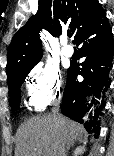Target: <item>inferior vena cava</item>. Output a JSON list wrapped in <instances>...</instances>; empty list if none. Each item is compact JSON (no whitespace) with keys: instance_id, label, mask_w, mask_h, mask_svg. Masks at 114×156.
Wrapping results in <instances>:
<instances>
[{"instance_id":"1","label":"inferior vena cava","mask_w":114,"mask_h":156,"mask_svg":"<svg viewBox=\"0 0 114 156\" xmlns=\"http://www.w3.org/2000/svg\"><path fill=\"white\" fill-rule=\"evenodd\" d=\"M59 103H60V101L58 103H56L54 105V107L52 108V115L56 118L59 117ZM58 156H66V147L65 146H63L61 148Z\"/></svg>"}]
</instances>
